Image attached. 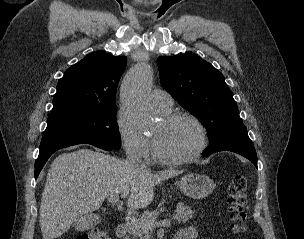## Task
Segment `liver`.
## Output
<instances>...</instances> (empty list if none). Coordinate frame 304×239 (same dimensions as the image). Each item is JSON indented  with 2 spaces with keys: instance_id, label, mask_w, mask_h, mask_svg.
<instances>
[{
  "instance_id": "1",
  "label": "liver",
  "mask_w": 304,
  "mask_h": 239,
  "mask_svg": "<svg viewBox=\"0 0 304 239\" xmlns=\"http://www.w3.org/2000/svg\"><path fill=\"white\" fill-rule=\"evenodd\" d=\"M181 173L132 167L127 160L87 148L61 154L49 168L42 193L43 238L60 237L78 217L98 210L111 195L127 198L131 209L146 208L154 198V186Z\"/></svg>"
}]
</instances>
